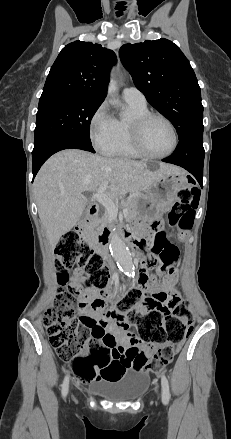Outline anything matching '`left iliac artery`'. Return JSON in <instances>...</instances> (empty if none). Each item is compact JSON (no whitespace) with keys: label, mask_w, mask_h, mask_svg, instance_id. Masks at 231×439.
Here are the masks:
<instances>
[{"label":"left iliac artery","mask_w":231,"mask_h":439,"mask_svg":"<svg viewBox=\"0 0 231 439\" xmlns=\"http://www.w3.org/2000/svg\"><path fill=\"white\" fill-rule=\"evenodd\" d=\"M161 385H162V402L166 405L170 400V389L168 379L164 374L161 376Z\"/></svg>","instance_id":"left-iliac-artery-1"}]
</instances>
